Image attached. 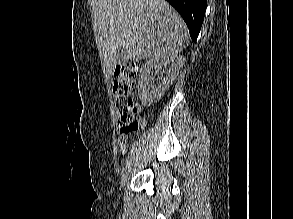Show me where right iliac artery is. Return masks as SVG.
I'll return each mask as SVG.
<instances>
[{"mask_svg":"<svg viewBox=\"0 0 293 219\" xmlns=\"http://www.w3.org/2000/svg\"><path fill=\"white\" fill-rule=\"evenodd\" d=\"M134 156H135V149H132L130 154L128 155V157L125 159L124 164H125L126 167L128 165H130V163H131L132 159L134 158Z\"/></svg>","mask_w":293,"mask_h":219,"instance_id":"82829eb1","label":"right iliac artery"}]
</instances>
